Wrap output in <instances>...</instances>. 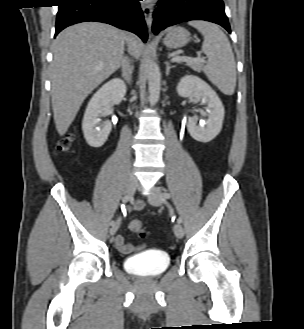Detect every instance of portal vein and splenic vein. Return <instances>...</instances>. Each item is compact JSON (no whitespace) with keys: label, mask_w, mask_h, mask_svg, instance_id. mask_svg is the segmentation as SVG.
<instances>
[{"label":"portal vein and splenic vein","mask_w":304,"mask_h":329,"mask_svg":"<svg viewBox=\"0 0 304 329\" xmlns=\"http://www.w3.org/2000/svg\"><path fill=\"white\" fill-rule=\"evenodd\" d=\"M171 61L172 62L202 63L205 60L202 57L175 56L171 59Z\"/></svg>","instance_id":"1"}]
</instances>
